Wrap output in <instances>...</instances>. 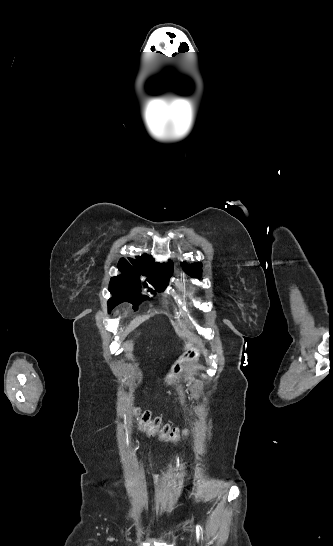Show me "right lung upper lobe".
Listing matches in <instances>:
<instances>
[{"mask_svg": "<svg viewBox=\"0 0 333 546\" xmlns=\"http://www.w3.org/2000/svg\"><path fill=\"white\" fill-rule=\"evenodd\" d=\"M129 261L131 264L126 259H121L119 262V266L122 267L126 273L136 276H139V273H146L150 275L149 278L152 282L159 284L167 283V280L157 277V266L159 264L154 263V259L151 256L145 254L141 257H136V260L129 259ZM168 264L173 265L171 262Z\"/></svg>", "mask_w": 333, "mask_h": 546, "instance_id": "right-lung-upper-lobe-1", "label": "right lung upper lobe"}]
</instances>
